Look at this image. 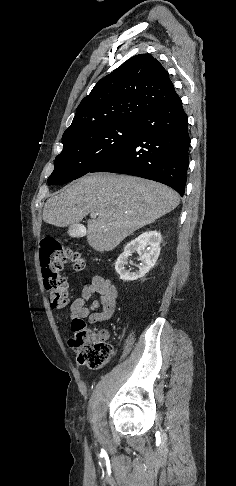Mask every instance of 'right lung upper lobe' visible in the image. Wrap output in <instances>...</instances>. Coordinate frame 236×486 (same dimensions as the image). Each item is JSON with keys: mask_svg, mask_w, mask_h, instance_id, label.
Returning <instances> with one entry per match:
<instances>
[{"mask_svg": "<svg viewBox=\"0 0 236 486\" xmlns=\"http://www.w3.org/2000/svg\"><path fill=\"white\" fill-rule=\"evenodd\" d=\"M180 100L161 63L139 54L97 82L77 107L62 139L99 128L136 123L159 107Z\"/></svg>", "mask_w": 236, "mask_h": 486, "instance_id": "right-lung-upper-lobe-1", "label": "right lung upper lobe"}]
</instances>
